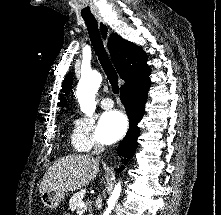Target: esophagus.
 I'll return each mask as SVG.
<instances>
[{"instance_id":"esophagus-1","label":"esophagus","mask_w":221,"mask_h":215,"mask_svg":"<svg viewBox=\"0 0 221 215\" xmlns=\"http://www.w3.org/2000/svg\"><path fill=\"white\" fill-rule=\"evenodd\" d=\"M97 21H98L99 31H100L102 40H103L105 46L107 47L108 39H109V35H110L108 26L104 23V21L102 19H97Z\"/></svg>"}]
</instances>
